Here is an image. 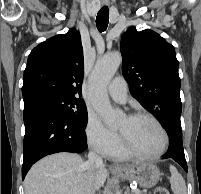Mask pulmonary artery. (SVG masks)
Here are the masks:
<instances>
[{
	"label": "pulmonary artery",
	"mask_w": 201,
	"mask_h": 194,
	"mask_svg": "<svg viewBox=\"0 0 201 194\" xmlns=\"http://www.w3.org/2000/svg\"><path fill=\"white\" fill-rule=\"evenodd\" d=\"M108 93L117 102L127 100V83L122 76L115 77L108 86Z\"/></svg>",
	"instance_id": "obj_1"
}]
</instances>
